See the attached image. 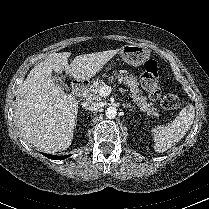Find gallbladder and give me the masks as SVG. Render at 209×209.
Listing matches in <instances>:
<instances>
[{"label":"gallbladder","mask_w":209,"mask_h":209,"mask_svg":"<svg viewBox=\"0 0 209 209\" xmlns=\"http://www.w3.org/2000/svg\"><path fill=\"white\" fill-rule=\"evenodd\" d=\"M52 79L55 82V84L61 87L62 89H65V90L68 89V86L63 82L62 78L58 74L53 73Z\"/></svg>","instance_id":"1"}]
</instances>
